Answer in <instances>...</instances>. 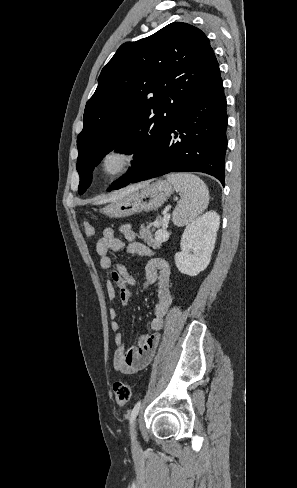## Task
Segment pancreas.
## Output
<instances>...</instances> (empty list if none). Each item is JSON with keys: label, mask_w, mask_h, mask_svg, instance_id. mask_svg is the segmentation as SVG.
Here are the masks:
<instances>
[{"label": "pancreas", "mask_w": 297, "mask_h": 488, "mask_svg": "<svg viewBox=\"0 0 297 488\" xmlns=\"http://www.w3.org/2000/svg\"><path fill=\"white\" fill-rule=\"evenodd\" d=\"M156 223H157L158 225H164V224H165V222H164L163 218H161V217H159V218L157 219ZM151 225H152V223H149V227H150ZM144 231H145V230H144ZM147 233H148V235H147V237H148V238H147L148 242H149V243H151V244H156V245H158V243H157V242H155V240L152 238V236H151V232H150V231H147Z\"/></svg>", "instance_id": "1"}]
</instances>
